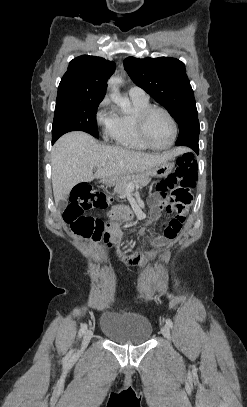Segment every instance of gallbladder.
Wrapping results in <instances>:
<instances>
[{"label": "gallbladder", "instance_id": "1", "mask_svg": "<svg viewBox=\"0 0 247 407\" xmlns=\"http://www.w3.org/2000/svg\"><path fill=\"white\" fill-rule=\"evenodd\" d=\"M67 206V201L66 199H62L58 202V209L63 211Z\"/></svg>", "mask_w": 247, "mask_h": 407}]
</instances>
